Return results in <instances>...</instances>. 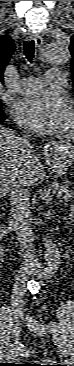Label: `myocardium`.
<instances>
[{
    "mask_svg": "<svg viewBox=\"0 0 74 366\" xmlns=\"http://www.w3.org/2000/svg\"><path fill=\"white\" fill-rule=\"evenodd\" d=\"M74 124V113L71 114V125ZM71 131H74V127H72Z\"/></svg>",
    "mask_w": 74,
    "mask_h": 366,
    "instance_id": "f54148a6",
    "label": "myocardium"
}]
</instances>
